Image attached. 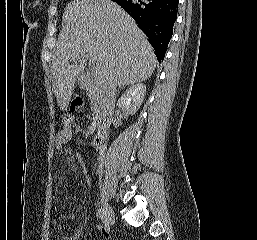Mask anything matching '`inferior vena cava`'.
Instances as JSON below:
<instances>
[{
  "mask_svg": "<svg viewBox=\"0 0 257 240\" xmlns=\"http://www.w3.org/2000/svg\"><path fill=\"white\" fill-rule=\"evenodd\" d=\"M116 87H117V85L113 82H111L107 85L106 94H107L108 102H109V114L110 115H112V109H113V105L115 102ZM101 166H102V164H101Z\"/></svg>",
  "mask_w": 257,
  "mask_h": 240,
  "instance_id": "1",
  "label": "inferior vena cava"
}]
</instances>
